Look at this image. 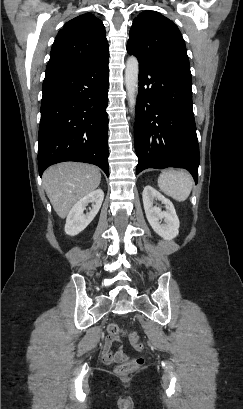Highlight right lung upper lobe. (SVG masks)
<instances>
[{"mask_svg":"<svg viewBox=\"0 0 243 409\" xmlns=\"http://www.w3.org/2000/svg\"><path fill=\"white\" fill-rule=\"evenodd\" d=\"M106 54L103 23L91 13L82 14L68 21L56 36L45 77L82 68Z\"/></svg>","mask_w":243,"mask_h":409,"instance_id":"cb5924a9","label":"right lung upper lobe"}]
</instances>
